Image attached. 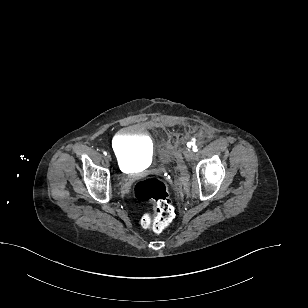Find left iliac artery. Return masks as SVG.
<instances>
[{"label": "left iliac artery", "instance_id": "1", "mask_svg": "<svg viewBox=\"0 0 308 308\" xmlns=\"http://www.w3.org/2000/svg\"><path fill=\"white\" fill-rule=\"evenodd\" d=\"M193 151L197 152L198 151V147L196 145L193 146Z\"/></svg>", "mask_w": 308, "mask_h": 308}]
</instances>
